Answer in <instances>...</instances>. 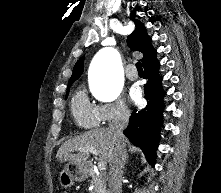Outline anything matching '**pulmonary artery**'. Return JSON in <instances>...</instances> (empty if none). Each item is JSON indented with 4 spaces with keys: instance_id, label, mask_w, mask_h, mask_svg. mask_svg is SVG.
Listing matches in <instances>:
<instances>
[{
    "instance_id": "pulmonary-artery-1",
    "label": "pulmonary artery",
    "mask_w": 221,
    "mask_h": 193,
    "mask_svg": "<svg viewBox=\"0 0 221 193\" xmlns=\"http://www.w3.org/2000/svg\"><path fill=\"white\" fill-rule=\"evenodd\" d=\"M133 66H130V68H132ZM126 77L129 79V80H136L137 77H138V73L136 70H131V69H127L126 70Z\"/></svg>"
}]
</instances>
